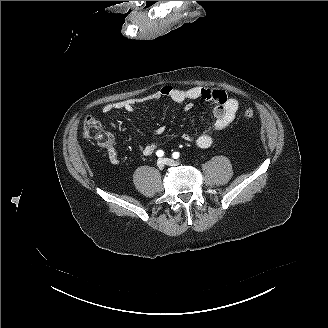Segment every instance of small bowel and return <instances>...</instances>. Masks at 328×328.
<instances>
[{
  "label": "small bowel",
  "mask_w": 328,
  "mask_h": 328,
  "mask_svg": "<svg viewBox=\"0 0 328 328\" xmlns=\"http://www.w3.org/2000/svg\"><path fill=\"white\" fill-rule=\"evenodd\" d=\"M162 98H168L177 103H186L185 110L190 111L192 109V100L203 99L214 104L213 117L214 121L211 127L202 132L197 137H194L190 133H183L182 139L186 142L195 141L200 148H208L213 142L212 131H220L227 128L235 119L239 109V102L236 98L228 97L224 91L206 88V87H192L189 89H180L170 85L161 87L156 92L137 98H128L112 103H108L103 106L102 111L109 113L113 110H126L132 112L136 106L142 103H146L153 100H159ZM166 131L164 126H160L154 129V134L162 135ZM158 148L157 142L148 143L140 148L142 155L149 156L154 153ZM107 156L111 164L117 165L120 162L119 154L116 148L110 143L107 148Z\"/></svg>",
  "instance_id": "small-bowel-1"
}]
</instances>
